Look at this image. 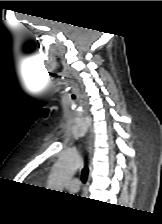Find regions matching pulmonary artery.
<instances>
[{"mask_svg":"<svg viewBox=\"0 0 162 224\" xmlns=\"http://www.w3.org/2000/svg\"><path fill=\"white\" fill-rule=\"evenodd\" d=\"M81 180L78 177H73L69 180L67 188L71 192H77L80 188Z\"/></svg>","mask_w":162,"mask_h":224,"instance_id":"obj_1","label":"pulmonary artery"}]
</instances>
